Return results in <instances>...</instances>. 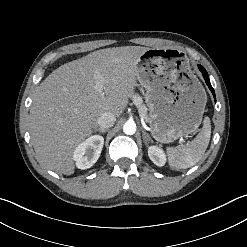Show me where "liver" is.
<instances>
[{
  "instance_id": "liver-1",
  "label": "liver",
  "mask_w": 247,
  "mask_h": 247,
  "mask_svg": "<svg viewBox=\"0 0 247 247\" xmlns=\"http://www.w3.org/2000/svg\"><path fill=\"white\" fill-rule=\"evenodd\" d=\"M148 49L97 50L60 66L40 84L30 108V134L44 166L74 173L76 147L92 134L102 113H123L137 85V62ZM97 74L102 77V93L96 89Z\"/></svg>"
}]
</instances>
